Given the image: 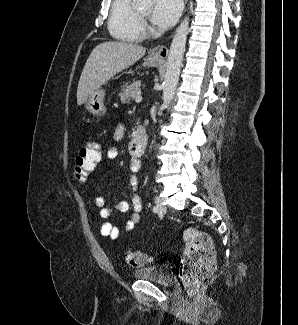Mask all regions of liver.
Listing matches in <instances>:
<instances>
[{
  "label": "liver",
  "mask_w": 298,
  "mask_h": 325,
  "mask_svg": "<svg viewBox=\"0 0 298 325\" xmlns=\"http://www.w3.org/2000/svg\"><path fill=\"white\" fill-rule=\"evenodd\" d=\"M145 54V46L136 42L107 40L97 44L90 52L78 80V106H82L90 94L107 84L113 76L135 64Z\"/></svg>",
  "instance_id": "obj_1"
}]
</instances>
